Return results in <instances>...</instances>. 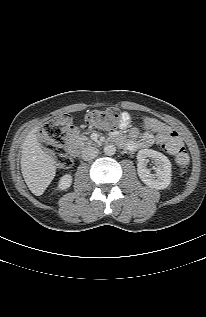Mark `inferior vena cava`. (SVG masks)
Listing matches in <instances>:
<instances>
[{"label":"inferior vena cava","mask_w":206,"mask_h":317,"mask_svg":"<svg viewBox=\"0 0 206 317\" xmlns=\"http://www.w3.org/2000/svg\"><path fill=\"white\" fill-rule=\"evenodd\" d=\"M99 154V150L95 147H86L81 153V157L83 160H91L94 159Z\"/></svg>","instance_id":"inferior-vena-cava-1"}]
</instances>
